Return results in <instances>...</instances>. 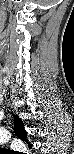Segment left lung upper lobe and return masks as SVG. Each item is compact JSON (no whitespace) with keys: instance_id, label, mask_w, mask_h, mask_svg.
Returning a JSON list of instances; mask_svg holds the SVG:
<instances>
[{"instance_id":"5c2ea615","label":"left lung upper lobe","mask_w":74,"mask_h":154,"mask_svg":"<svg viewBox=\"0 0 74 154\" xmlns=\"http://www.w3.org/2000/svg\"><path fill=\"white\" fill-rule=\"evenodd\" d=\"M14 125H15L14 130H15L16 135H18L20 139L25 140V132L23 130V123L18 116H15L14 118Z\"/></svg>"}]
</instances>
